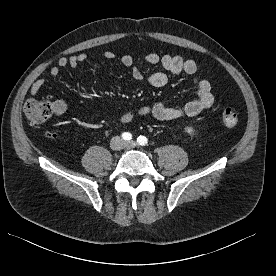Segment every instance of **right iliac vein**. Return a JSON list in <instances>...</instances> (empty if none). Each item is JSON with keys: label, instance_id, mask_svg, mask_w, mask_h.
Returning a JSON list of instances; mask_svg holds the SVG:
<instances>
[{"label": "right iliac vein", "instance_id": "right-iliac-vein-1", "mask_svg": "<svg viewBox=\"0 0 276 276\" xmlns=\"http://www.w3.org/2000/svg\"><path fill=\"white\" fill-rule=\"evenodd\" d=\"M110 146L113 150H120L123 147V141L120 137H114L111 140Z\"/></svg>", "mask_w": 276, "mask_h": 276}]
</instances>
